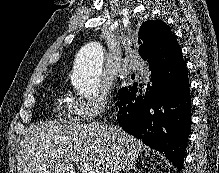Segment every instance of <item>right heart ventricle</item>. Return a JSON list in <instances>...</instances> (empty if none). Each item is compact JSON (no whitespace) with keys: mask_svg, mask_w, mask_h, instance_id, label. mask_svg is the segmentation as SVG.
Listing matches in <instances>:
<instances>
[{"mask_svg":"<svg viewBox=\"0 0 219 173\" xmlns=\"http://www.w3.org/2000/svg\"><path fill=\"white\" fill-rule=\"evenodd\" d=\"M57 110L60 113L62 112V113L68 114L70 113V105H66L65 103L60 101L57 105Z\"/></svg>","mask_w":219,"mask_h":173,"instance_id":"e07e8e85","label":"right heart ventricle"}]
</instances>
